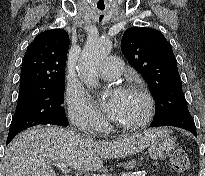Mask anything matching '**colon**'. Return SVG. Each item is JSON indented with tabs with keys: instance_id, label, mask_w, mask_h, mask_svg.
Masks as SVG:
<instances>
[{
	"instance_id": "1",
	"label": "colon",
	"mask_w": 205,
	"mask_h": 176,
	"mask_svg": "<svg viewBox=\"0 0 205 176\" xmlns=\"http://www.w3.org/2000/svg\"><path fill=\"white\" fill-rule=\"evenodd\" d=\"M170 164L173 170L180 174H186L190 166L189 158L182 149H177L171 154Z\"/></svg>"
}]
</instances>
